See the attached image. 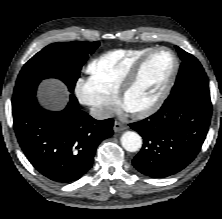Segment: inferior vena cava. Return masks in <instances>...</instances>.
<instances>
[{
	"label": "inferior vena cava",
	"mask_w": 222,
	"mask_h": 219,
	"mask_svg": "<svg viewBox=\"0 0 222 219\" xmlns=\"http://www.w3.org/2000/svg\"><path fill=\"white\" fill-rule=\"evenodd\" d=\"M90 115L95 119H107L112 116V112L106 108L91 107Z\"/></svg>",
	"instance_id": "1"
}]
</instances>
